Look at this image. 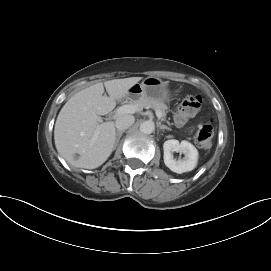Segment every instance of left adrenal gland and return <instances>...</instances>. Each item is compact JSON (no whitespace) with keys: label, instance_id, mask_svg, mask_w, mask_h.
<instances>
[{"label":"left adrenal gland","instance_id":"left-adrenal-gland-1","mask_svg":"<svg viewBox=\"0 0 271 271\" xmlns=\"http://www.w3.org/2000/svg\"><path fill=\"white\" fill-rule=\"evenodd\" d=\"M158 126H159V128H160L161 130L167 129V130H170V131H171V129H170L169 127L165 126V125L159 124Z\"/></svg>","mask_w":271,"mask_h":271}]
</instances>
